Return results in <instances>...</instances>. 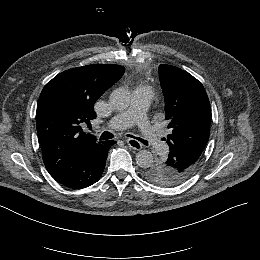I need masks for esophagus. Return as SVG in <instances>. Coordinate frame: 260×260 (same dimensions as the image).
Returning <instances> with one entry per match:
<instances>
[{
	"mask_svg": "<svg viewBox=\"0 0 260 260\" xmlns=\"http://www.w3.org/2000/svg\"><path fill=\"white\" fill-rule=\"evenodd\" d=\"M126 142H127L128 146L131 147L132 149H135V150H141L142 149V144L136 139L128 138L126 140Z\"/></svg>",
	"mask_w": 260,
	"mask_h": 260,
	"instance_id": "1",
	"label": "esophagus"
}]
</instances>
